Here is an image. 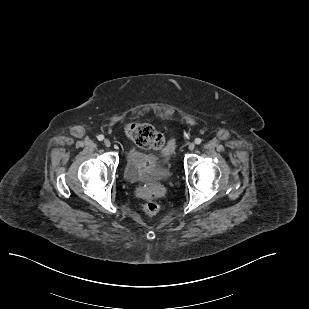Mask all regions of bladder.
Masks as SVG:
<instances>
[{
  "label": "bladder",
  "mask_w": 309,
  "mask_h": 309,
  "mask_svg": "<svg viewBox=\"0 0 309 309\" xmlns=\"http://www.w3.org/2000/svg\"><path fill=\"white\" fill-rule=\"evenodd\" d=\"M170 165L157 154L131 147L127 150L124 177L131 183H148L171 177Z\"/></svg>",
  "instance_id": "31cf9c89"
}]
</instances>
